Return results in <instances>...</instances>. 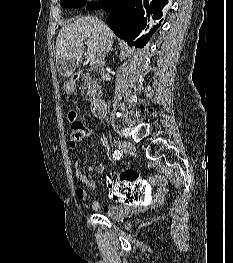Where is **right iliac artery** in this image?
Listing matches in <instances>:
<instances>
[{"label":"right iliac artery","instance_id":"obj_1","mask_svg":"<svg viewBox=\"0 0 233 263\" xmlns=\"http://www.w3.org/2000/svg\"><path fill=\"white\" fill-rule=\"evenodd\" d=\"M121 157H122V153H121L120 150H115V151L113 152V158H114L115 160H119Z\"/></svg>","mask_w":233,"mask_h":263}]
</instances>
